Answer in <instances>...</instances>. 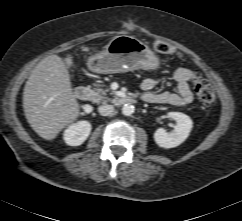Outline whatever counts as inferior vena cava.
Listing matches in <instances>:
<instances>
[{"mask_svg": "<svg viewBox=\"0 0 242 221\" xmlns=\"http://www.w3.org/2000/svg\"><path fill=\"white\" fill-rule=\"evenodd\" d=\"M98 111L102 116H109V115L113 114L114 106L104 104V105H101V106L98 107Z\"/></svg>", "mask_w": 242, "mask_h": 221, "instance_id": "obj_1", "label": "inferior vena cava"}]
</instances>
